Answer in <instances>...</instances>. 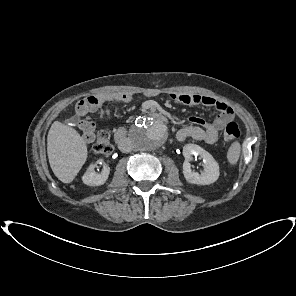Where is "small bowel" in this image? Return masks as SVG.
<instances>
[{
    "instance_id": "small-bowel-1",
    "label": "small bowel",
    "mask_w": 296,
    "mask_h": 296,
    "mask_svg": "<svg viewBox=\"0 0 296 296\" xmlns=\"http://www.w3.org/2000/svg\"><path fill=\"white\" fill-rule=\"evenodd\" d=\"M172 100L184 105H204L215 108L219 114L212 121H206L199 117H191L190 124L178 130L176 137L183 142L188 139L204 142L206 144L214 143L219 132L227 123L235 118V112L228 104L216 100L209 96L190 94V93H173L170 94ZM131 95L121 92L100 93L80 101L76 107L78 116L77 126L81 131L84 142L91 143L95 139L96 127L94 122L87 120L84 116L88 113L103 112V107L107 103L128 102Z\"/></svg>"
}]
</instances>
